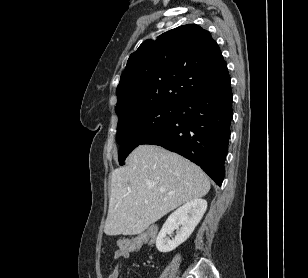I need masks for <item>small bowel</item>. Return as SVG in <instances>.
<instances>
[{"mask_svg": "<svg viewBox=\"0 0 308 278\" xmlns=\"http://www.w3.org/2000/svg\"><path fill=\"white\" fill-rule=\"evenodd\" d=\"M130 254L131 253H129L128 250L117 249L112 255V258L115 261V266L106 278H119V263L118 262L120 259L129 258Z\"/></svg>", "mask_w": 308, "mask_h": 278, "instance_id": "c3829d8e", "label": "small bowel"}]
</instances>
